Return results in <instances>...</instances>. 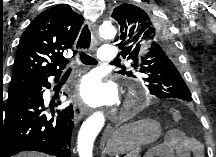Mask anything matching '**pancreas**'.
<instances>
[{"mask_svg":"<svg viewBox=\"0 0 216 157\" xmlns=\"http://www.w3.org/2000/svg\"><path fill=\"white\" fill-rule=\"evenodd\" d=\"M140 149H136L126 155V157H140Z\"/></svg>","mask_w":216,"mask_h":157,"instance_id":"pancreas-1","label":"pancreas"}]
</instances>
